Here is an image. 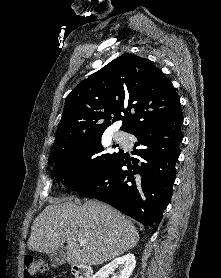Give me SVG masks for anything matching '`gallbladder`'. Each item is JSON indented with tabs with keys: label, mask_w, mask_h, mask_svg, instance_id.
<instances>
[{
	"label": "gallbladder",
	"mask_w": 221,
	"mask_h": 278,
	"mask_svg": "<svg viewBox=\"0 0 221 278\" xmlns=\"http://www.w3.org/2000/svg\"><path fill=\"white\" fill-rule=\"evenodd\" d=\"M50 261L55 265H62L66 262V254L64 249H59L49 254Z\"/></svg>",
	"instance_id": "bac80fb5"
}]
</instances>
